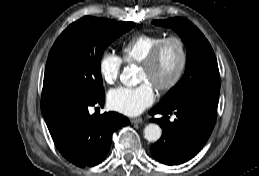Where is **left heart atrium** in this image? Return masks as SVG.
<instances>
[{"label": "left heart atrium", "mask_w": 259, "mask_h": 176, "mask_svg": "<svg viewBox=\"0 0 259 176\" xmlns=\"http://www.w3.org/2000/svg\"><path fill=\"white\" fill-rule=\"evenodd\" d=\"M154 100V89L149 82H143L133 87H117L108 93V104L111 109L129 116L140 114Z\"/></svg>", "instance_id": "1"}]
</instances>
